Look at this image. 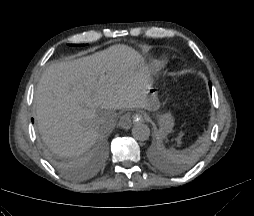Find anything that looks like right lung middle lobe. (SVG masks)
Wrapping results in <instances>:
<instances>
[{
  "label": "right lung middle lobe",
  "mask_w": 254,
  "mask_h": 216,
  "mask_svg": "<svg viewBox=\"0 0 254 216\" xmlns=\"http://www.w3.org/2000/svg\"><path fill=\"white\" fill-rule=\"evenodd\" d=\"M72 46H83V45H72Z\"/></svg>",
  "instance_id": "obj_1"
}]
</instances>
